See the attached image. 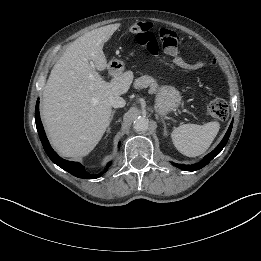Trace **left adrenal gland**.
Masks as SVG:
<instances>
[{"label": "left adrenal gland", "mask_w": 261, "mask_h": 261, "mask_svg": "<svg viewBox=\"0 0 261 261\" xmlns=\"http://www.w3.org/2000/svg\"><path fill=\"white\" fill-rule=\"evenodd\" d=\"M162 122H163V126H164V134H167V130H166V124H165V121H164V120H162Z\"/></svg>", "instance_id": "1"}]
</instances>
